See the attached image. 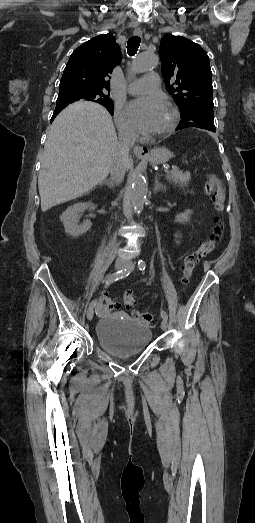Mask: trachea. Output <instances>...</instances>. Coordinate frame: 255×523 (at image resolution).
I'll return each instance as SVG.
<instances>
[{"label": "trachea", "mask_w": 255, "mask_h": 523, "mask_svg": "<svg viewBox=\"0 0 255 523\" xmlns=\"http://www.w3.org/2000/svg\"><path fill=\"white\" fill-rule=\"evenodd\" d=\"M141 39L138 36L131 37L127 42V51L130 56H134L137 53Z\"/></svg>", "instance_id": "obj_1"}]
</instances>
